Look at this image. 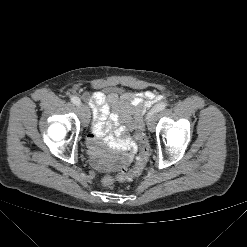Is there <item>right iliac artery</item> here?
I'll return each instance as SVG.
<instances>
[{
    "label": "right iliac artery",
    "instance_id": "right-iliac-artery-1",
    "mask_svg": "<svg viewBox=\"0 0 247 247\" xmlns=\"http://www.w3.org/2000/svg\"><path fill=\"white\" fill-rule=\"evenodd\" d=\"M70 100H71V102L74 103L75 105H80V103H81L80 99H79L78 97H76V96H72V97L70 98Z\"/></svg>",
    "mask_w": 247,
    "mask_h": 247
}]
</instances>
